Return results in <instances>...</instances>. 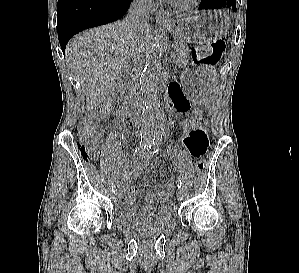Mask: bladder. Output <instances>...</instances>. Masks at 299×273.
<instances>
[{"label":"bladder","instance_id":"obj_1","mask_svg":"<svg viewBox=\"0 0 299 273\" xmlns=\"http://www.w3.org/2000/svg\"><path fill=\"white\" fill-rule=\"evenodd\" d=\"M115 222L131 231L147 234L154 233L167 228L174 220V214L169 213L167 215H157L150 219H141L132 215H127L121 211L114 210Z\"/></svg>","mask_w":299,"mask_h":273}]
</instances>
